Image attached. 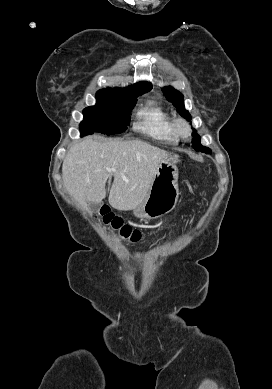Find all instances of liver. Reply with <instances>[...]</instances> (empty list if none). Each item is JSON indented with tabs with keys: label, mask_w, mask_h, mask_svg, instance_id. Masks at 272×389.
<instances>
[{
	"label": "liver",
	"mask_w": 272,
	"mask_h": 389,
	"mask_svg": "<svg viewBox=\"0 0 272 389\" xmlns=\"http://www.w3.org/2000/svg\"><path fill=\"white\" fill-rule=\"evenodd\" d=\"M168 152L142 140H101L90 136L75 143L62 165L67 192L82 207L101 203L106 182L114 177L109 204L122 211L134 210L146 198L154 173ZM115 168L116 172H108Z\"/></svg>",
	"instance_id": "1"
}]
</instances>
